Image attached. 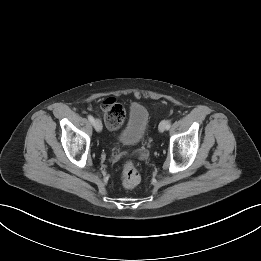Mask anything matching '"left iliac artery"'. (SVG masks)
Instances as JSON below:
<instances>
[{
    "instance_id": "1",
    "label": "left iliac artery",
    "mask_w": 261,
    "mask_h": 261,
    "mask_svg": "<svg viewBox=\"0 0 261 261\" xmlns=\"http://www.w3.org/2000/svg\"><path fill=\"white\" fill-rule=\"evenodd\" d=\"M171 127V121H168L167 126H166V130H168Z\"/></svg>"
}]
</instances>
